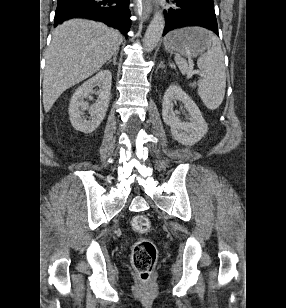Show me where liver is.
<instances>
[{
    "instance_id": "obj_1",
    "label": "liver",
    "mask_w": 286,
    "mask_h": 308,
    "mask_svg": "<svg viewBox=\"0 0 286 308\" xmlns=\"http://www.w3.org/2000/svg\"><path fill=\"white\" fill-rule=\"evenodd\" d=\"M122 41L119 31L95 21L72 19L57 26L46 53L44 110L48 112L68 88L96 73Z\"/></svg>"
}]
</instances>
